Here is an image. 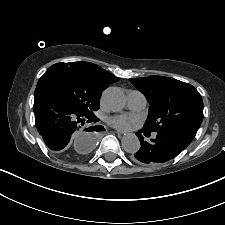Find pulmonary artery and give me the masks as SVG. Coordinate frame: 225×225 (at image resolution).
<instances>
[{
  "label": "pulmonary artery",
  "instance_id": "obj_1",
  "mask_svg": "<svg viewBox=\"0 0 225 225\" xmlns=\"http://www.w3.org/2000/svg\"><path fill=\"white\" fill-rule=\"evenodd\" d=\"M128 108L133 111H140L147 105L145 95L137 90H130L127 93Z\"/></svg>",
  "mask_w": 225,
  "mask_h": 225
}]
</instances>
